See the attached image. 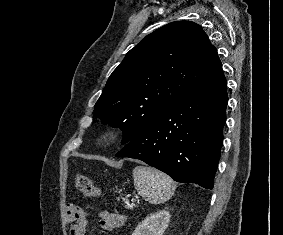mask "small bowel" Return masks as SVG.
<instances>
[{
	"label": "small bowel",
	"instance_id": "small-bowel-1",
	"mask_svg": "<svg viewBox=\"0 0 283 235\" xmlns=\"http://www.w3.org/2000/svg\"><path fill=\"white\" fill-rule=\"evenodd\" d=\"M66 220L70 223L69 235H84L86 214L74 205L66 206ZM126 216L120 213L102 212L100 214V226L104 231H113L124 225Z\"/></svg>",
	"mask_w": 283,
	"mask_h": 235
}]
</instances>
